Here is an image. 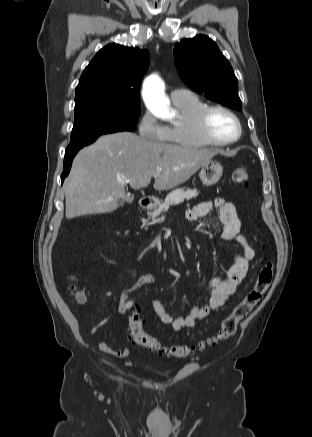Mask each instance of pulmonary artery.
I'll return each instance as SVG.
<instances>
[{
    "label": "pulmonary artery",
    "mask_w": 312,
    "mask_h": 437,
    "mask_svg": "<svg viewBox=\"0 0 312 437\" xmlns=\"http://www.w3.org/2000/svg\"><path fill=\"white\" fill-rule=\"evenodd\" d=\"M189 94L186 90L183 89H174L170 93V97L173 102L183 99Z\"/></svg>",
    "instance_id": "1"
}]
</instances>
